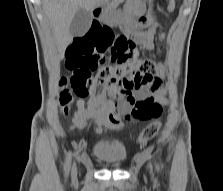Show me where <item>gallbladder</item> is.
<instances>
[{
	"label": "gallbladder",
	"mask_w": 223,
	"mask_h": 191,
	"mask_svg": "<svg viewBox=\"0 0 223 191\" xmlns=\"http://www.w3.org/2000/svg\"><path fill=\"white\" fill-rule=\"evenodd\" d=\"M92 16L89 11L79 9L72 19L70 25V34L73 37L83 36L90 28Z\"/></svg>",
	"instance_id": "gallbladder-1"
}]
</instances>
